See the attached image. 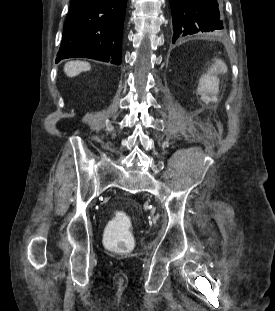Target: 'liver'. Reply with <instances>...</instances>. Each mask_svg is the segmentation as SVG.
Here are the masks:
<instances>
[{
  "mask_svg": "<svg viewBox=\"0 0 275 311\" xmlns=\"http://www.w3.org/2000/svg\"><path fill=\"white\" fill-rule=\"evenodd\" d=\"M91 69V65L85 61H70L64 66V72L69 77H74L83 71Z\"/></svg>",
  "mask_w": 275,
  "mask_h": 311,
  "instance_id": "liver-1",
  "label": "liver"
}]
</instances>
